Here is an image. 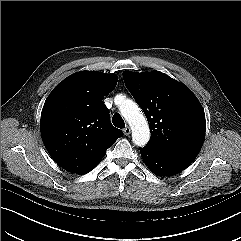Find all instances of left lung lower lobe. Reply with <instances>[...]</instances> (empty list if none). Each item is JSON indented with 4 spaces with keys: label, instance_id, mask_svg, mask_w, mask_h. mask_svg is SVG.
I'll list each match as a JSON object with an SVG mask.
<instances>
[{
    "label": "left lung lower lobe",
    "instance_id": "obj_1",
    "mask_svg": "<svg viewBox=\"0 0 241 241\" xmlns=\"http://www.w3.org/2000/svg\"><path fill=\"white\" fill-rule=\"evenodd\" d=\"M140 153L150 170L159 176L174 175L188 167L191 163V161L166 156L149 147L140 148Z\"/></svg>",
    "mask_w": 241,
    "mask_h": 241
}]
</instances>
